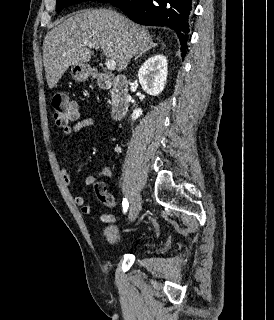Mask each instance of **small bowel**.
Wrapping results in <instances>:
<instances>
[{"label":"small bowel","instance_id":"obj_1","mask_svg":"<svg viewBox=\"0 0 274 320\" xmlns=\"http://www.w3.org/2000/svg\"><path fill=\"white\" fill-rule=\"evenodd\" d=\"M93 121L89 117H84L79 119L75 124L68 126L64 129V134L67 137H70L74 134L81 132L82 130L91 127ZM60 175L65 186H70L71 177L69 171L65 165L60 167ZM111 175V167L106 164L102 167V169L94 175H89L84 179V184L89 186L98 183L104 178H107ZM74 203L81 208V212L84 215H90L93 212V207L90 204L85 202V198L81 194H77L73 198ZM100 220L104 223H112L115 218L110 214H103L100 216Z\"/></svg>","mask_w":274,"mask_h":320}]
</instances>
